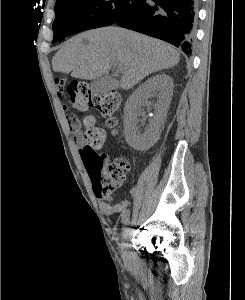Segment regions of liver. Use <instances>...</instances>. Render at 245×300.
<instances>
[{"instance_id":"6515ba94","label":"liver","mask_w":245,"mask_h":300,"mask_svg":"<svg viewBox=\"0 0 245 300\" xmlns=\"http://www.w3.org/2000/svg\"><path fill=\"white\" fill-rule=\"evenodd\" d=\"M179 60L180 53L163 41L119 27H104L69 39L53 57L52 68L74 78L94 80L115 66L122 74L120 87L129 90Z\"/></svg>"}]
</instances>
